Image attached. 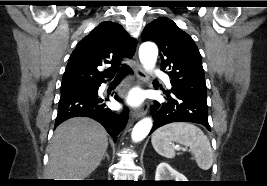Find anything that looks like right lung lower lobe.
<instances>
[{
    "mask_svg": "<svg viewBox=\"0 0 267 186\" xmlns=\"http://www.w3.org/2000/svg\"><path fill=\"white\" fill-rule=\"evenodd\" d=\"M120 73L123 78L133 72L129 66H126ZM94 85L93 87L75 86L61 91L55 127L69 118L86 116L100 122L116 141L117 135L127 123L128 109L125 108L123 112L109 109L105 104L108 99L98 95L101 83ZM115 99L121 101L116 95Z\"/></svg>",
    "mask_w": 267,
    "mask_h": 186,
    "instance_id": "obj_1",
    "label": "right lung lower lobe"
}]
</instances>
